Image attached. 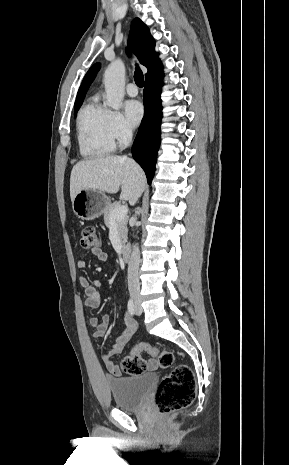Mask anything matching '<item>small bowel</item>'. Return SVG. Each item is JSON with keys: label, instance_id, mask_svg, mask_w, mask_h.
<instances>
[{"label": "small bowel", "instance_id": "small-bowel-1", "mask_svg": "<svg viewBox=\"0 0 289 465\" xmlns=\"http://www.w3.org/2000/svg\"><path fill=\"white\" fill-rule=\"evenodd\" d=\"M91 254L101 262H106L110 260L109 254L99 247L92 249ZM77 265L80 269H85L87 266L86 261L84 259H80ZM79 283L84 289L86 305L93 309L98 308L101 303L100 291L102 288V282L99 280H94L91 284L89 279L82 275L79 277ZM110 322L111 317L109 315H105L101 319H90V324L95 327L94 337L103 338L107 332ZM125 323L126 328L121 334V336L112 343L111 348L109 350L103 351L101 355V358L107 370L113 376H120L122 374L119 365H117L113 361V357L121 353L127 341L136 332L137 329V324L135 320L128 315H125ZM156 367L157 361L154 359L150 360L147 363V368L149 370H154L156 369Z\"/></svg>", "mask_w": 289, "mask_h": 465}]
</instances>
